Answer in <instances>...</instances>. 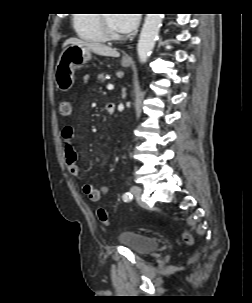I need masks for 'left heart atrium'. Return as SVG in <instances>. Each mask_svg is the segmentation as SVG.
I'll use <instances>...</instances> for the list:
<instances>
[{"label":"left heart atrium","mask_w":252,"mask_h":303,"mask_svg":"<svg viewBox=\"0 0 252 303\" xmlns=\"http://www.w3.org/2000/svg\"><path fill=\"white\" fill-rule=\"evenodd\" d=\"M114 21L121 32H130L139 24V14H115Z\"/></svg>","instance_id":"left-heart-atrium-1"}]
</instances>
